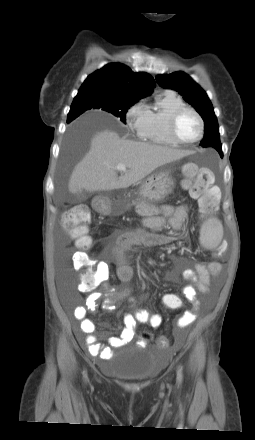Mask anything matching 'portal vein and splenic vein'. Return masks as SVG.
<instances>
[{"mask_svg": "<svg viewBox=\"0 0 255 440\" xmlns=\"http://www.w3.org/2000/svg\"><path fill=\"white\" fill-rule=\"evenodd\" d=\"M116 169H117L118 171H123V172H125V171H126V166H125L124 164L120 163V164H118V165L116 166Z\"/></svg>", "mask_w": 255, "mask_h": 440, "instance_id": "18ae733b", "label": "portal vein and splenic vein"}]
</instances>
